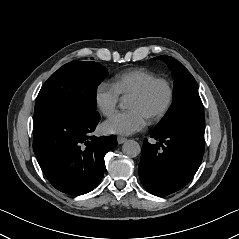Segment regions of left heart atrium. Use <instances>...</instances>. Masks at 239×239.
Instances as JSON below:
<instances>
[{
  "mask_svg": "<svg viewBox=\"0 0 239 239\" xmlns=\"http://www.w3.org/2000/svg\"><path fill=\"white\" fill-rule=\"evenodd\" d=\"M145 124L144 116L136 109H127L113 115L107 122L110 132L130 134L140 130Z\"/></svg>",
  "mask_w": 239,
  "mask_h": 239,
  "instance_id": "39dd6f15",
  "label": "left heart atrium"
}]
</instances>
